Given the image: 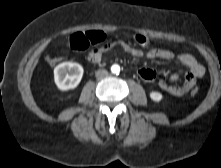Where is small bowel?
Here are the masks:
<instances>
[{"mask_svg": "<svg viewBox=\"0 0 221 168\" xmlns=\"http://www.w3.org/2000/svg\"><path fill=\"white\" fill-rule=\"evenodd\" d=\"M116 47L120 48L130 56L136 58L144 56L149 59H178L187 69L185 81L181 85L175 84L174 81L177 80L179 77L178 74H173L169 78L161 79L159 81V87L173 96H182L186 94L195 85L196 80L202 78L205 74L204 67L191 54H175L170 50L157 48L143 51L122 40H117L112 43L104 44L92 50L88 53L87 59L92 63L98 64L102 61L105 53ZM138 76L145 82H152L156 78V72L152 68L144 67L138 70Z\"/></svg>", "mask_w": 221, "mask_h": 168, "instance_id": "obj_1", "label": "small bowel"}]
</instances>
